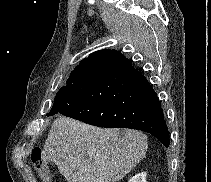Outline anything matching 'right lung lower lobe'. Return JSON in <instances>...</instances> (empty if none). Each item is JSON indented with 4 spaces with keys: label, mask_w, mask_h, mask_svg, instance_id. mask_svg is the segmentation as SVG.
Here are the masks:
<instances>
[{
    "label": "right lung lower lobe",
    "mask_w": 211,
    "mask_h": 182,
    "mask_svg": "<svg viewBox=\"0 0 211 182\" xmlns=\"http://www.w3.org/2000/svg\"><path fill=\"white\" fill-rule=\"evenodd\" d=\"M54 108V114L94 126L146 131L169 146L168 128L155 91L116 50L92 53L75 88Z\"/></svg>",
    "instance_id": "obj_1"
}]
</instances>
